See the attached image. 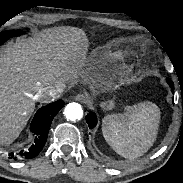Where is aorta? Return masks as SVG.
<instances>
[{
    "instance_id": "aorta-1",
    "label": "aorta",
    "mask_w": 183,
    "mask_h": 183,
    "mask_svg": "<svg viewBox=\"0 0 183 183\" xmlns=\"http://www.w3.org/2000/svg\"><path fill=\"white\" fill-rule=\"evenodd\" d=\"M64 115L70 121L80 120L83 116L81 105L75 102L67 104L64 109Z\"/></svg>"
}]
</instances>
